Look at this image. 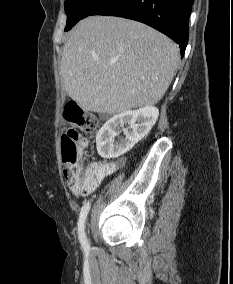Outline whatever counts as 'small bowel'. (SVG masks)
<instances>
[{"instance_id": "1", "label": "small bowel", "mask_w": 233, "mask_h": 284, "mask_svg": "<svg viewBox=\"0 0 233 284\" xmlns=\"http://www.w3.org/2000/svg\"><path fill=\"white\" fill-rule=\"evenodd\" d=\"M123 163L124 160L122 159L116 162L101 161L91 163L87 167L86 173L94 182L93 190H95L108 176L112 175L119 167H121Z\"/></svg>"}]
</instances>
